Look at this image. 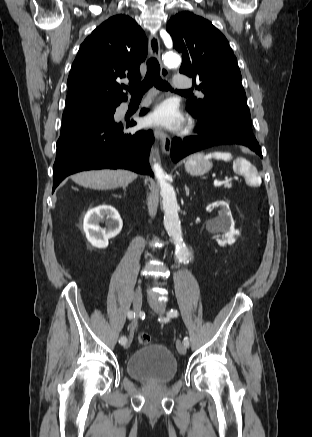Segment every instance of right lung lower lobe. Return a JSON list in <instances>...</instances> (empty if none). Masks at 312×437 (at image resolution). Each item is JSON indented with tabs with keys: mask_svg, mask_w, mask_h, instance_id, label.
I'll list each match as a JSON object with an SVG mask.
<instances>
[{
	"mask_svg": "<svg viewBox=\"0 0 312 437\" xmlns=\"http://www.w3.org/2000/svg\"><path fill=\"white\" fill-rule=\"evenodd\" d=\"M146 112L142 109L140 114ZM134 125V121L116 123L112 119L60 137L53 166V191L65 177L84 170L125 168L153 176L148 160L153 133H126Z\"/></svg>",
	"mask_w": 312,
	"mask_h": 437,
	"instance_id": "1",
	"label": "right lung lower lobe"
}]
</instances>
